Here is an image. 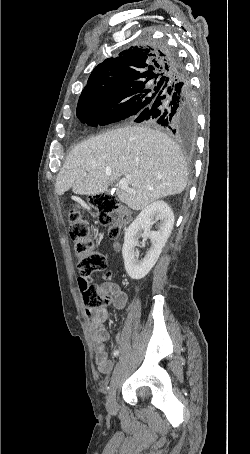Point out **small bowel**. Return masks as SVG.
Returning <instances> with one entry per match:
<instances>
[{
    "label": "small bowel",
    "instance_id": "small-bowel-1",
    "mask_svg": "<svg viewBox=\"0 0 250 454\" xmlns=\"http://www.w3.org/2000/svg\"><path fill=\"white\" fill-rule=\"evenodd\" d=\"M78 285L80 291L85 294L88 286V280L85 277H79ZM98 292L100 295H110L112 297L113 306L118 310H124L128 303L127 294L120 289L116 283H103ZM89 317V327L93 344L95 347V362L98 370L103 374H110L113 370V363L108 357L106 342L110 337L104 323L108 320V312L105 309L87 310Z\"/></svg>",
    "mask_w": 250,
    "mask_h": 454
}]
</instances>
